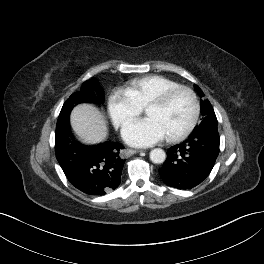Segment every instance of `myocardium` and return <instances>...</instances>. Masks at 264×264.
I'll use <instances>...</instances> for the list:
<instances>
[{
	"label": "myocardium",
	"mask_w": 264,
	"mask_h": 264,
	"mask_svg": "<svg viewBox=\"0 0 264 264\" xmlns=\"http://www.w3.org/2000/svg\"><path fill=\"white\" fill-rule=\"evenodd\" d=\"M179 93H187L190 96L193 104V113L191 120L183 130L174 135L166 136V140L169 142H178L183 140L194 130L198 123L201 107L199 99L194 90L187 86L179 85L165 91L164 93L150 101L145 107V111L150 107H164Z\"/></svg>",
	"instance_id": "myocardium-1"
}]
</instances>
